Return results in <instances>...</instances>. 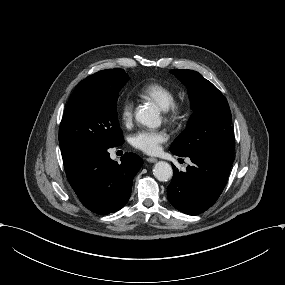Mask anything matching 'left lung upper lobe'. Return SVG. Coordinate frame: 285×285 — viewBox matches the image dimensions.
I'll use <instances>...</instances> for the list:
<instances>
[{"instance_id": "1", "label": "left lung upper lobe", "mask_w": 285, "mask_h": 285, "mask_svg": "<svg viewBox=\"0 0 285 285\" xmlns=\"http://www.w3.org/2000/svg\"><path fill=\"white\" fill-rule=\"evenodd\" d=\"M186 85L193 114L186 129L170 150L177 156L213 148L234 149L231 112L223 94L200 73L193 70L170 71Z\"/></svg>"}]
</instances>
